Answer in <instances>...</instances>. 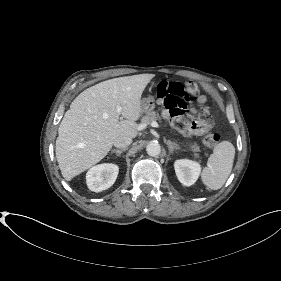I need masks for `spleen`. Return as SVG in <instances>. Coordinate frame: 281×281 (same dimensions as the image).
Instances as JSON below:
<instances>
[{"label":"spleen","instance_id":"1","mask_svg":"<svg viewBox=\"0 0 281 281\" xmlns=\"http://www.w3.org/2000/svg\"><path fill=\"white\" fill-rule=\"evenodd\" d=\"M234 157L235 147L230 141L218 143L202 171V182L212 190L220 189L232 171Z\"/></svg>","mask_w":281,"mask_h":281}]
</instances>
